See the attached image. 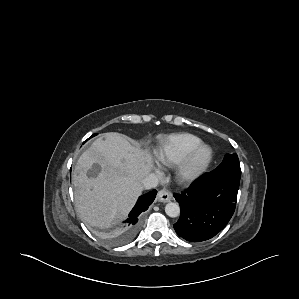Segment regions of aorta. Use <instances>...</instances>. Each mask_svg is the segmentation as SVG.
Instances as JSON below:
<instances>
[{"label":"aorta","instance_id":"obj_1","mask_svg":"<svg viewBox=\"0 0 299 299\" xmlns=\"http://www.w3.org/2000/svg\"><path fill=\"white\" fill-rule=\"evenodd\" d=\"M165 212L169 217L175 218L180 215V207L174 202H169L165 206Z\"/></svg>","mask_w":299,"mask_h":299}]
</instances>
